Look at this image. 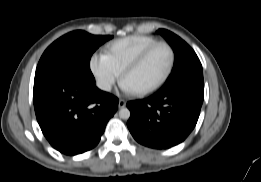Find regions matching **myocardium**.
<instances>
[{
  "label": "myocardium",
  "mask_w": 261,
  "mask_h": 182,
  "mask_svg": "<svg viewBox=\"0 0 261 182\" xmlns=\"http://www.w3.org/2000/svg\"><path fill=\"white\" fill-rule=\"evenodd\" d=\"M166 47L168 48L169 52H170V63L168 66V69L166 71V73L163 75V77L154 85L143 89V90H139V91H133L134 94L138 95V96H144V95H148L150 93H153L155 91H157L158 89H160L169 79V77L171 76L174 66H175V61H176V54L175 51L173 49V47L166 43V42H158L152 46H150L149 48H147L146 50H144L137 58H135L122 72V80L125 83L126 78L128 77V75L130 73H132L133 71H135L137 68H139L143 62L148 58V56L157 48L159 47Z\"/></svg>",
  "instance_id": "f54148a6"
}]
</instances>
